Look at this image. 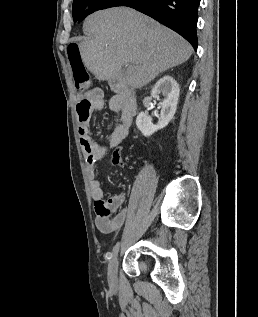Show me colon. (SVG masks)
Returning <instances> with one entry per match:
<instances>
[{"label": "colon", "instance_id": "colon-1", "mask_svg": "<svg viewBox=\"0 0 258 317\" xmlns=\"http://www.w3.org/2000/svg\"><path fill=\"white\" fill-rule=\"evenodd\" d=\"M67 57L72 69L77 91L84 93L91 87V76L83 62L80 47L77 43H70L67 47ZM119 156L120 152L116 151Z\"/></svg>", "mask_w": 258, "mask_h": 317}]
</instances>
